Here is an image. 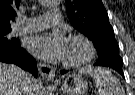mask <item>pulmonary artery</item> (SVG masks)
Here are the masks:
<instances>
[{"mask_svg": "<svg viewBox=\"0 0 135 95\" xmlns=\"http://www.w3.org/2000/svg\"><path fill=\"white\" fill-rule=\"evenodd\" d=\"M61 22V15L57 9H52L42 16H36L25 19V24L19 19L18 23L12 28L13 34H24L37 32L45 29L51 24H59Z\"/></svg>", "mask_w": 135, "mask_h": 95, "instance_id": "e3ab8cb5", "label": "pulmonary artery"}]
</instances>
